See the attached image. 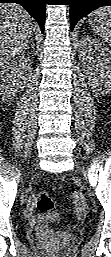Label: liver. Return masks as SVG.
I'll return each instance as SVG.
<instances>
[{"instance_id": "liver-1", "label": "liver", "mask_w": 111, "mask_h": 257, "mask_svg": "<svg viewBox=\"0 0 111 257\" xmlns=\"http://www.w3.org/2000/svg\"><path fill=\"white\" fill-rule=\"evenodd\" d=\"M33 19L15 3L0 5V64L4 67L19 55L32 36Z\"/></svg>"}]
</instances>
